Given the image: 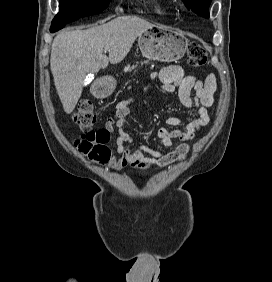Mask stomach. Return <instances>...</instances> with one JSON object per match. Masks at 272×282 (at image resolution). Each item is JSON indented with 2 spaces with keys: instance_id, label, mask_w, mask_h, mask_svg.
I'll use <instances>...</instances> for the list:
<instances>
[{
  "instance_id": "0dacf381",
  "label": "stomach",
  "mask_w": 272,
  "mask_h": 282,
  "mask_svg": "<svg viewBox=\"0 0 272 282\" xmlns=\"http://www.w3.org/2000/svg\"><path fill=\"white\" fill-rule=\"evenodd\" d=\"M187 45V39L181 33L162 25H154L138 36V46L142 54L150 60L177 61L185 54ZM115 87V79L106 77L105 92L110 94Z\"/></svg>"
}]
</instances>
